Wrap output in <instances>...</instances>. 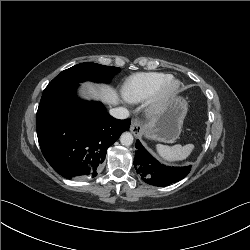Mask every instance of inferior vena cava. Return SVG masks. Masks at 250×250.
<instances>
[{"label":"inferior vena cava","mask_w":250,"mask_h":250,"mask_svg":"<svg viewBox=\"0 0 250 250\" xmlns=\"http://www.w3.org/2000/svg\"><path fill=\"white\" fill-rule=\"evenodd\" d=\"M110 115L116 119H127L129 118V111L124 107H118L110 109Z\"/></svg>","instance_id":"1"}]
</instances>
